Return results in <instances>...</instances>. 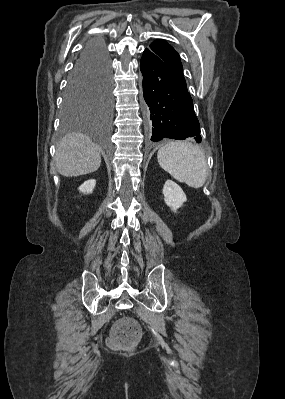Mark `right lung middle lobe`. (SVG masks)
I'll return each instance as SVG.
<instances>
[{
    "label": "right lung middle lobe",
    "instance_id": "obj_1",
    "mask_svg": "<svg viewBox=\"0 0 285 399\" xmlns=\"http://www.w3.org/2000/svg\"><path fill=\"white\" fill-rule=\"evenodd\" d=\"M92 41H100L94 39ZM111 68L108 59H95L73 69L64 93L62 119L64 129L77 123L93 110L104 119L111 114Z\"/></svg>",
    "mask_w": 285,
    "mask_h": 399
}]
</instances>
